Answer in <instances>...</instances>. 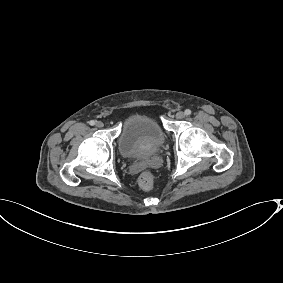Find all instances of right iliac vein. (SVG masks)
Segmentation results:
<instances>
[{
    "label": "right iliac vein",
    "instance_id": "obj_1",
    "mask_svg": "<svg viewBox=\"0 0 283 283\" xmlns=\"http://www.w3.org/2000/svg\"><path fill=\"white\" fill-rule=\"evenodd\" d=\"M95 125H96V127H98V128H102V127L104 126V123H103L102 121H97V122L95 123Z\"/></svg>",
    "mask_w": 283,
    "mask_h": 283
}]
</instances>
